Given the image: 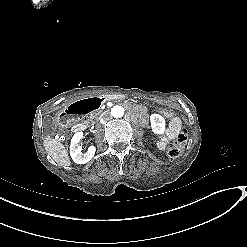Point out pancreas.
<instances>
[{
    "mask_svg": "<svg viewBox=\"0 0 247 247\" xmlns=\"http://www.w3.org/2000/svg\"><path fill=\"white\" fill-rule=\"evenodd\" d=\"M101 111L100 112H94L90 115L88 121L91 122V124H94L95 121L97 120V117L100 115Z\"/></svg>",
    "mask_w": 247,
    "mask_h": 247,
    "instance_id": "obj_1",
    "label": "pancreas"
}]
</instances>
